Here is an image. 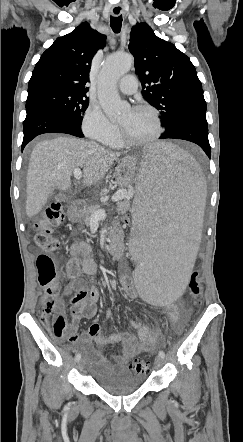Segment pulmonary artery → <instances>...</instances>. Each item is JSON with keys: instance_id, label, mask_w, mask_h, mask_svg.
Listing matches in <instances>:
<instances>
[{"instance_id": "pulmonary-artery-1", "label": "pulmonary artery", "mask_w": 243, "mask_h": 442, "mask_svg": "<svg viewBox=\"0 0 243 442\" xmlns=\"http://www.w3.org/2000/svg\"><path fill=\"white\" fill-rule=\"evenodd\" d=\"M138 82L134 75L127 74L119 82V90L125 95H132L136 92Z\"/></svg>"}]
</instances>
